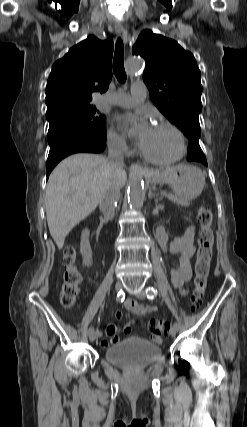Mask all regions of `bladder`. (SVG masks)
Returning <instances> with one entry per match:
<instances>
[{
    "instance_id": "obj_1",
    "label": "bladder",
    "mask_w": 247,
    "mask_h": 427,
    "mask_svg": "<svg viewBox=\"0 0 247 427\" xmlns=\"http://www.w3.org/2000/svg\"><path fill=\"white\" fill-rule=\"evenodd\" d=\"M161 348L153 343L129 339L105 349V359L116 366L138 370L154 363L161 356Z\"/></svg>"
}]
</instances>
